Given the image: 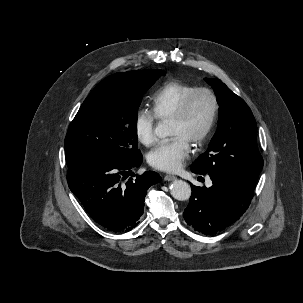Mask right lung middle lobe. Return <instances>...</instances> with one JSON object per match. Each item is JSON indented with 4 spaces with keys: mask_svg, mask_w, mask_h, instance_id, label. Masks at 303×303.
<instances>
[{
    "mask_svg": "<svg viewBox=\"0 0 303 303\" xmlns=\"http://www.w3.org/2000/svg\"><path fill=\"white\" fill-rule=\"evenodd\" d=\"M162 70L110 75L83 102L65 138L66 163L88 153H102L126 162L142 158L137 143V110L142 95Z\"/></svg>",
    "mask_w": 303,
    "mask_h": 303,
    "instance_id": "right-lung-middle-lobe-1",
    "label": "right lung middle lobe"
}]
</instances>
